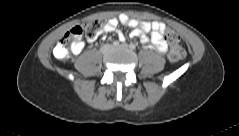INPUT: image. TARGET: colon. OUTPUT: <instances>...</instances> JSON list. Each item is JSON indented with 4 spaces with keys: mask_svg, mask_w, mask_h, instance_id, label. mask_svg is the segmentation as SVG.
<instances>
[{
    "mask_svg": "<svg viewBox=\"0 0 239 136\" xmlns=\"http://www.w3.org/2000/svg\"><path fill=\"white\" fill-rule=\"evenodd\" d=\"M100 27V22L96 20L86 21L82 25L75 26L61 38L54 49V55L61 59L67 58L71 52L79 47L80 40L84 34L89 39H93L100 32ZM165 35L167 40L172 44L169 53L170 62L176 63L181 61L185 56V49L179 45L178 34L168 29Z\"/></svg>",
    "mask_w": 239,
    "mask_h": 136,
    "instance_id": "colon-1",
    "label": "colon"
}]
</instances>
